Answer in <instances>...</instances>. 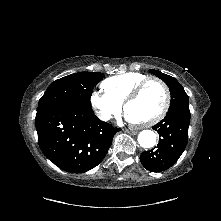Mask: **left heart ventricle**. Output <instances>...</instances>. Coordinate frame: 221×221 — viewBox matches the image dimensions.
I'll use <instances>...</instances> for the list:
<instances>
[{"mask_svg":"<svg viewBox=\"0 0 221 221\" xmlns=\"http://www.w3.org/2000/svg\"><path fill=\"white\" fill-rule=\"evenodd\" d=\"M164 104V93L157 83H149L139 97L131 102L126 114L132 122H143L159 113Z\"/></svg>","mask_w":221,"mask_h":221,"instance_id":"1","label":"left heart ventricle"}]
</instances>
